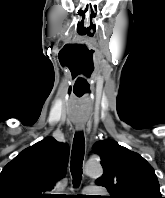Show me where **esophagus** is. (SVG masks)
Listing matches in <instances>:
<instances>
[{"instance_id":"esophagus-1","label":"esophagus","mask_w":165,"mask_h":198,"mask_svg":"<svg viewBox=\"0 0 165 198\" xmlns=\"http://www.w3.org/2000/svg\"><path fill=\"white\" fill-rule=\"evenodd\" d=\"M75 127H76L77 131H82V130H84L85 124L84 123H76Z\"/></svg>"}]
</instances>
